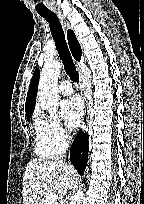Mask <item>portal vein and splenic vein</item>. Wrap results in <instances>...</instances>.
Masks as SVG:
<instances>
[{"instance_id": "portal-vein-and-splenic-vein-1", "label": "portal vein and splenic vein", "mask_w": 144, "mask_h": 204, "mask_svg": "<svg viewBox=\"0 0 144 204\" xmlns=\"http://www.w3.org/2000/svg\"><path fill=\"white\" fill-rule=\"evenodd\" d=\"M57 195L56 193H50L49 195H47L45 197V204H57L56 201H57Z\"/></svg>"}]
</instances>
